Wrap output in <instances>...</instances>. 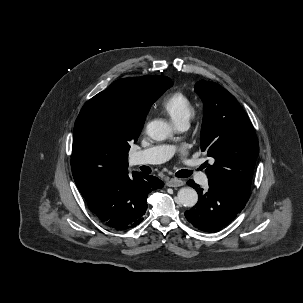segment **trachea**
<instances>
[{
    "label": "trachea",
    "instance_id": "obj_1",
    "mask_svg": "<svg viewBox=\"0 0 303 303\" xmlns=\"http://www.w3.org/2000/svg\"><path fill=\"white\" fill-rule=\"evenodd\" d=\"M191 174H192V172L189 171V170H180V171H178L175 175H176V177H178V178H187V177H189Z\"/></svg>",
    "mask_w": 303,
    "mask_h": 303
}]
</instances>
